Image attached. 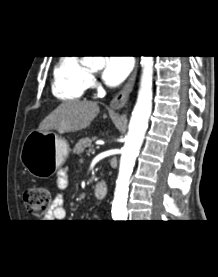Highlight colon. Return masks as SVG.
I'll return each instance as SVG.
<instances>
[{"instance_id":"1","label":"colon","mask_w":218,"mask_h":277,"mask_svg":"<svg viewBox=\"0 0 218 277\" xmlns=\"http://www.w3.org/2000/svg\"><path fill=\"white\" fill-rule=\"evenodd\" d=\"M51 201V191L46 187L32 186L24 191V205L31 215H44L49 210Z\"/></svg>"}]
</instances>
